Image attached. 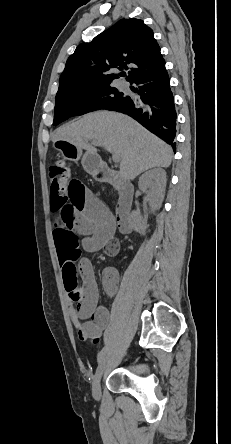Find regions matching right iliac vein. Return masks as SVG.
<instances>
[{
	"label": "right iliac vein",
	"mask_w": 231,
	"mask_h": 444,
	"mask_svg": "<svg viewBox=\"0 0 231 444\" xmlns=\"http://www.w3.org/2000/svg\"><path fill=\"white\" fill-rule=\"evenodd\" d=\"M107 363V356L104 355L102 359L99 361L98 367L96 369L95 375L92 379V393L95 399H99L101 396V388H100V382L101 378L103 376L105 367Z\"/></svg>",
	"instance_id": "63e3f726"
}]
</instances>
